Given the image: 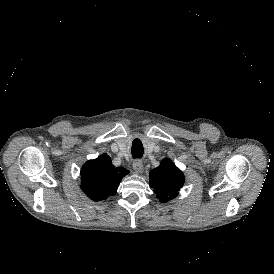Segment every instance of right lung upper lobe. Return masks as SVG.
<instances>
[{
  "mask_svg": "<svg viewBox=\"0 0 274 274\" xmlns=\"http://www.w3.org/2000/svg\"><path fill=\"white\" fill-rule=\"evenodd\" d=\"M129 173L125 168H116L107 154L90 160L81 169V188L94 201L115 195L121 179Z\"/></svg>",
  "mask_w": 274,
  "mask_h": 274,
  "instance_id": "1",
  "label": "right lung upper lobe"
}]
</instances>
